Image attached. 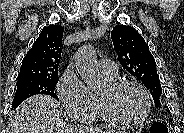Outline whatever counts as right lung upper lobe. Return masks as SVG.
Segmentation results:
<instances>
[{"mask_svg":"<svg viewBox=\"0 0 184 133\" xmlns=\"http://www.w3.org/2000/svg\"><path fill=\"white\" fill-rule=\"evenodd\" d=\"M62 26L44 27L22 61L18 79L58 76L62 52Z\"/></svg>","mask_w":184,"mask_h":133,"instance_id":"1","label":"right lung upper lobe"}]
</instances>
